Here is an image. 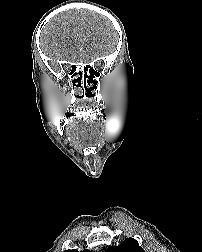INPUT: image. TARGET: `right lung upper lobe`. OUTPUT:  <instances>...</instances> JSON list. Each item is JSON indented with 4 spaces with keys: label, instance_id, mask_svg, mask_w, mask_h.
Instances as JSON below:
<instances>
[{
    "label": "right lung upper lobe",
    "instance_id": "1",
    "mask_svg": "<svg viewBox=\"0 0 202 252\" xmlns=\"http://www.w3.org/2000/svg\"><path fill=\"white\" fill-rule=\"evenodd\" d=\"M65 252H78L77 250H67ZM81 252H90L89 250H83Z\"/></svg>",
    "mask_w": 202,
    "mask_h": 252
}]
</instances>
